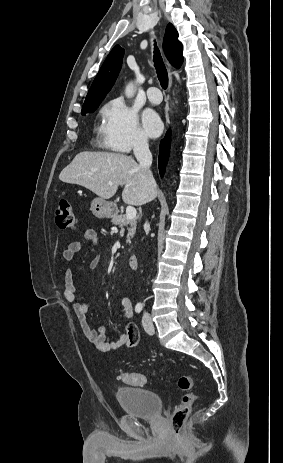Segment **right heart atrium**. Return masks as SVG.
<instances>
[{
  "instance_id": "right-heart-atrium-1",
  "label": "right heart atrium",
  "mask_w": 283,
  "mask_h": 463,
  "mask_svg": "<svg viewBox=\"0 0 283 463\" xmlns=\"http://www.w3.org/2000/svg\"><path fill=\"white\" fill-rule=\"evenodd\" d=\"M100 134L103 144L117 151L129 152L148 147L136 111L122 99L111 100L104 106Z\"/></svg>"
}]
</instances>
